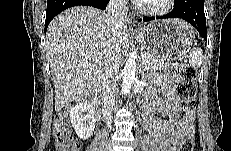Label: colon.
Wrapping results in <instances>:
<instances>
[{
    "label": "colon",
    "instance_id": "5ec220e1",
    "mask_svg": "<svg viewBox=\"0 0 231 151\" xmlns=\"http://www.w3.org/2000/svg\"><path fill=\"white\" fill-rule=\"evenodd\" d=\"M176 93L181 99V107L186 114L194 113L197 94L196 70L186 64L180 72ZM53 136L57 151H80L79 144L71 137L67 128V114H59L53 126ZM194 135L184 136L179 145V151H193Z\"/></svg>",
    "mask_w": 231,
    "mask_h": 151
}]
</instances>
